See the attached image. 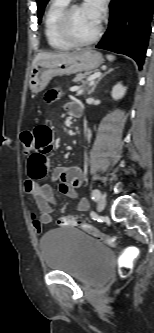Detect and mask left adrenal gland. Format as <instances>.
<instances>
[{
  "label": "left adrenal gland",
  "mask_w": 154,
  "mask_h": 333,
  "mask_svg": "<svg viewBox=\"0 0 154 333\" xmlns=\"http://www.w3.org/2000/svg\"><path fill=\"white\" fill-rule=\"evenodd\" d=\"M111 71H113V69H109V71H107L105 74H103L101 77H99V78L97 79V81H95V83L93 84L92 88L89 90L88 94L93 93V91L95 90L97 84L101 81V79H102L103 77H105L108 73H110Z\"/></svg>",
  "instance_id": "a2214340"
}]
</instances>
